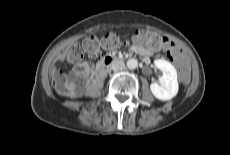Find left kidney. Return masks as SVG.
<instances>
[{"instance_id":"obj_1","label":"left kidney","mask_w":230,"mask_h":155,"mask_svg":"<svg viewBox=\"0 0 230 155\" xmlns=\"http://www.w3.org/2000/svg\"><path fill=\"white\" fill-rule=\"evenodd\" d=\"M154 65L163 72V75L160 78V84L152 83L150 90L159 100H171L177 95L179 89L177 71L170 62L163 59H156Z\"/></svg>"}]
</instances>
